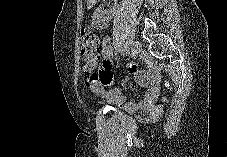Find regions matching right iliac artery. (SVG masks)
<instances>
[{"label":"right iliac artery","mask_w":227,"mask_h":157,"mask_svg":"<svg viewBox=\"0 0 227 157\" xmlns=\"http://www.w3.org/2000/svg\"><path fill=\"white\" fill-rule=\"evenodd\" d=\"M124 51H125V53H130L131 50H130V48H125Z\"/></svg>","instance_id":"obj_1"}]
</instances>
